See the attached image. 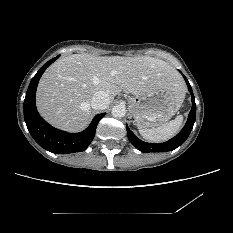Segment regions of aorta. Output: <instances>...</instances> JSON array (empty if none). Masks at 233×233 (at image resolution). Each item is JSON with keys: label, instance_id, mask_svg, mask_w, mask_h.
I'll use <instances>...</instances> for the list:
<instances>
[{"label": "aorta", "instance_id": "aorta-1", "mask_svg": "<svg viewBox=\"0 0 233 233\" xmlns=\"http://www.w3.org/2000/svg\"><path fill=\"white\" fill-rule=\"evenodd\" d=\"M111 113L116 118H122L126 114V108L123 105H116L112 108Z\"/></svg>", "mask_w": 233, "mask_h": 233}]
</instances>
